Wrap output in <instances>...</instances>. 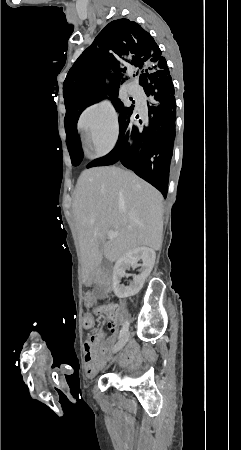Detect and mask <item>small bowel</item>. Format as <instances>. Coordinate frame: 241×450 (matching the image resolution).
<instances>
[{"instance_id":"c3829d8e","label":"small bowel","mask_w":241,"mask_h":450,"mask_svg":"<svg viewBox=\"0 0 241 450\" xmlns=\"http://www.w3.org/2000/svg\"><path fill=\"white\" fill-rule=\"evenodd\" d=\"M90 287V286H89ZM93 296L91 293H86L85 304L91 306L93 304ZM86 328H92L94 326V318L92 325H84ZM108 330L112 335L103 329H97L90 337L89 340L84 344V360L86 364V372L89 376H94L102 368L104 364V359L108 351L113 347L114 343V333L117 332L118 328H121V319H108L107 321ZM113 329V331L110 330ZM136 343L134 341L130 342V348H134ZM97 348V352H95ZM132 363L136 362L135 358L131 359Z\"/></svg>"}]
</instances>
